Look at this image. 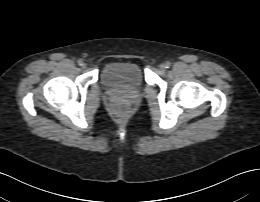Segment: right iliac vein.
I'll return each instance as SVG.
<instances>
[{"label":"right iliac vein","instance_id":"63e3f726","mask_svg":"<svg viewBox=\"0 0 260 202\" xmlns=\"http://www.w3.org/2000/svg\"><path fill=\"white\" fill-rule=\"evenodd\" d=\"M87 65L85 63L82 64V68L85 69Z\"/></svg>","mask_w":260,"mask_h":202}]
</instances>
